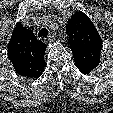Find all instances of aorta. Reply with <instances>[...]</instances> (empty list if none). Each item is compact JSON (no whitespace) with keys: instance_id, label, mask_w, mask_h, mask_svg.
Instances as JSON below:
<instances>
[{"instance_id":"obj_1","label":"aorta","mask_w":113,"mask_h":113,"mask_svg":"<svg viewBox=\"0 0 113 113\" xmlns=\"http://www.w3.org/2000/svg\"><path fill=\"white\" fill-rule=\"evenodd\" d=\"M61 37H62L63 41H66V40H67V37H69V34L67 35V34L65 33V31H62V32H61Z\"/></svg>"}]
</instances>
